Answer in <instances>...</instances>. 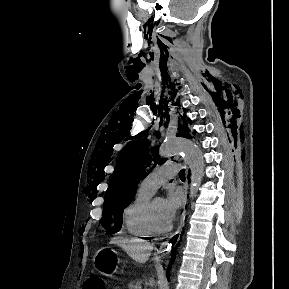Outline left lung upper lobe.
<instances>
[{
	"label": "left lung upper lobe",
	"instance_id": "left-lung-upper-lobe-1",
	"mask_svg": "<svg viewBox=\"0 0 289 289\" xmlns=\"http://www.w3.org/2000/svg\"><path fill=\"white\" fill-rule=\"evenodd\" d=\"M179 137L191 138L186 124L178 128ZM147 139L132 141L120 152L116 168L111 176L110 185L103 204V217L100 223L107 233H115L122 226L123 210L131 203L137 184L146 174L145 168L154 163L161 164L158 148L149 149ZM149 172H147L148 174Z\"/></svg>",
	"mask_w": 289,
	"mask_h": 289
}]
</instances>
